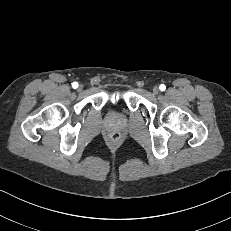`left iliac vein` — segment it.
<instances>
[{"label":"left iliac vein","instance_id":"left-iliac-vein-1","mask_svg":"<svg viewBox=\"0 0 231 231\" xmlns=\"http://www.w3.org/2000/svg\"><path fill=\"white\" fill-rule=\"evenodd\" d=\"M153 93H154V94H158V93H159V88H158L157 86H155V87L153 88Z\"/></svg>","mask_w":231,"mask_h":231}]
</instances>
